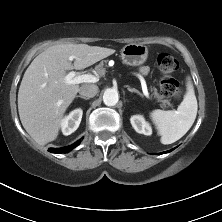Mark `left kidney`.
<instances>
[{
    "label": "left kidney",
    "mask_w": 222,
    "mask_h": 222,
    "mask_svg": "<svg viewBox=\"0 0 222 222\" xmlns=\"http://www.w3.org/2000/svg\"><path fill=\"white\" fill-rule=\"evenodd\" d=\"M130 121L136 132L147 136L152 134L151 126L148 122L145 121L143 116L134 115L131 117Z\"/></svg>",
    "instance_id": "left-kidney-1"
}]
</instances>
